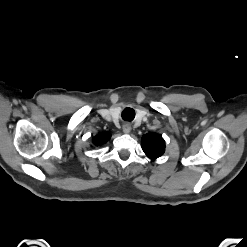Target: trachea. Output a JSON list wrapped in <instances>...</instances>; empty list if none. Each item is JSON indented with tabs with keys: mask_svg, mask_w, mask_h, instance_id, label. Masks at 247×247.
Here are the masks:
<instances>
[{
	"mask_svg": "<svg viewBox=\"0 0 247 247\" xmlns=\"http://www.w3.org/2000/svg\"><path fill=\"white\" fill-rule=\"evenodd\" d=\"M122 117L124 120L131 121L135 117V112L132 108H126L122 113Z\"/></svg>",
	"mask_w": 247,
	"mask_h": 247,
	"instance_id": "3493384b",
	"label": "trachea"
}]
</instances>
